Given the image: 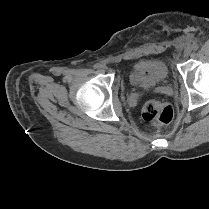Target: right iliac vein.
Here are the masks:
<instances>
[{
  "instance_id": "63e3f726",
  "label": "right iliac vein",
  "mask_w": 209,
  "mask_h": 209,
  "mask_svg": "<svg viewBox=\"0 0 209 209\" xmlns=\"http://www.w3.org/2000/svg\"><path fill=\"white\" fill-rule=\"evenodd\" d=\"M102 70L104 71L106 69V66H101Z\"/></svg>"
}]
</instances>
